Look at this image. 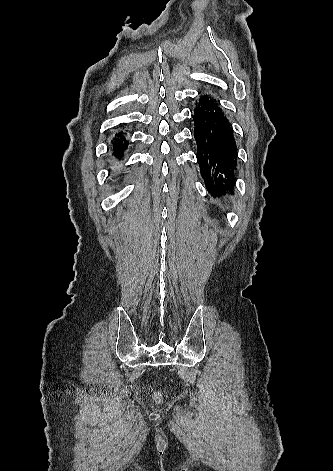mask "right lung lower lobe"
<instances>
[{
	"mask_svg": "<svg viewBox=\"0 0 333 471\" xmlns=\"http://www.w3.org/2000/svg\"><path fill=\"white\" fill-rule=\"evenodd\" d=\"M117 136V135H116ZM129 142L123 138L122 133H119L117 138L113 142V154L114 156L121 158L124 151L126 150Z\"/></svg>",
	"mask_w": 333,
	"mask_h": 471,
	"instance_id": "obj_1",
	"label": "right lung lower lobe"
}]
</instances>
